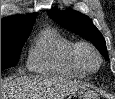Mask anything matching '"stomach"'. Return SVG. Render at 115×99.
<instances>
[{"mask_svg": "<svg viewBox=\"0 0 115 99\" xmlns=\"http://www.w3.org/2000/svg\"><path fill=\"white\" fill-rule=\"evenodd\" d=\"M67 99H99L98 95L92 90L84 87L69 94Z\"/></svg>", "mask_w": 115, "mask_h": 99, "instance_id": "0dacf381", "label": "stomach"}]
</instances>
